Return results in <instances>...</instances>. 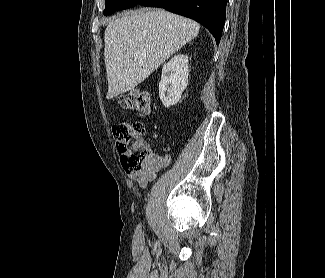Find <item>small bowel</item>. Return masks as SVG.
Segmentation results:
<instances>
[{"label": "small bowel", "mask_w": 325, "mask_h": 278, "mask_svg": "<svg viewBox=\"0 0 325 278\" xmlns=\"http://www.w3.org/2000/svg\"><path fill=\"white\" fill-rule=\"evenodd\" d=\"M170 161L171 157L167 153H152L143 169L129 174V178L138 182L142 188H146L155 179L157 172L168 166Z\"/></svg>", "instance_id": "obj_1"}]
</instances>
